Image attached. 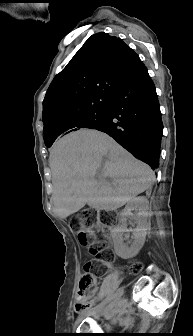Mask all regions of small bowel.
<instances>
[{"label": "small bowel", "instance_id": "1", "mask_svg": "<svg viewBox=\"0 0 193 336\" xmlns=\"http://www.w3.org/2000/svg\"><path fill=\"white\" fill-rule=\"evenodd\" d=\"M104 266L109 267L110 264L107 262V263H105ZM97 293H98V289H97V288H94V289L89 293V296H88V300H87V301L90 302L89 300H94L95 297H96V295H97ZM121 316L124 317V313H123V311L121 312Z\"/></svg>", "mask_w": 193, "mask_h": 336}]
</instances>
